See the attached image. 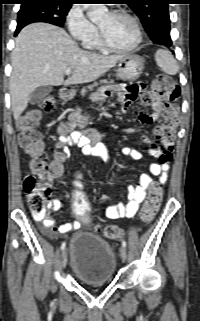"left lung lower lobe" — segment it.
Returning <instances> with one entry per match:
<instances>
[{"label": "left lung lower lobe", "mask_w": 200, "mask_h": 321, "mask_svg": "<svg viewBox=\"0 0 200 321\" xmlns=\"http://www.w3.org/2000/svg\"><path fill=\"white\" fill-rule=\"evenodd\" d=\"M171 45H172V42H168V43H166L164 46L170 47Z\"/></svg>", "instance_id": "1"}]
</instances>
